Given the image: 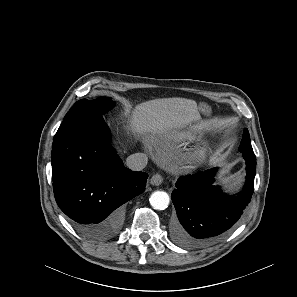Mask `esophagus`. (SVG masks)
I'll return each mask as SVG.
<instances>
[{
    "label": "esophagus",
    "mask_w": 297,
    "mask_h": 297,
    "mask_svg": "<svg viewBox=\"0 0 297 297\" xmlns=\"http://www.w3.org/2000/svg\"><path fill=\"white\" fill-rule=\"evenodd\" d=\"M163 182V177L160 174H154L151 179L150 183L154 186H159Z\"/></svg>",
    "instance_id": "1"
}]
</instances>
